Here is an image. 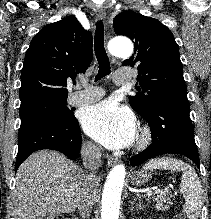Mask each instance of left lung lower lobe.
Wrapping results in <instances>:
<instances>
[{"mask_svg":"<svg viewBox=\"0 0 211 219\" xmlns=\"http://www.w3.org/2000/svg\"><path fill=\"white\" fill-rule=\"evenodd\" d=\"M189 110L187 99L166 98L157 101L151 111L143 116L151 129L152 144L132 157L131 166L135 167L155 156L170 153L182 154L200 168Z\"/></svg>","mask_w":211,"mask_h":219,"instance_id":"1","label":"left lung lower lobe"}]
</instances>
